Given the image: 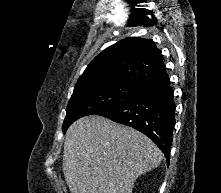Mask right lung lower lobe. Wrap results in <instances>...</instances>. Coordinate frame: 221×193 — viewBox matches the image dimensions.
Wrapping results in <instances>:
<instances>
[{
	"instance_id": "right-lung-lower-lobe-1",
	"label": "right lung lower lobe",
	"mask_w": 221,
	"mask_h": 193,
	"mask_svg": "<svg viewBox=\"0 0 221 193\" xmlns=\"http://www.w3.org/2000/svg\"><path fill=\"white\" fill-rule=\"evenodd\" d=\"M175 108L173 90L165 76L143 84L134 97L98 115L148 136L165 154L169 164Z\"/></svg>"
}]
</instances>
